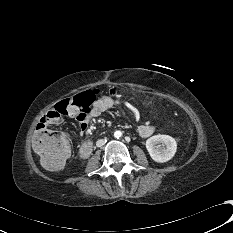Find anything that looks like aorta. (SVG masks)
Segmentation results:
<instances>
[{
    "label": "aorta",
    "mask_w": 233,
    "mask_h": 233,
    "mask_svg": "<svg viewBox=\"0 0 233 233\" xmlns=\"http://www.w3.org/2000/svg\"><path fill=\"white\" fill-rule=\"evenodd\" d=\"M114 136H115L116 138H120V137L122 136L121 131H115Z\"/></svg>",
    "instance_id": "aorta-1"
}]
</instances>
